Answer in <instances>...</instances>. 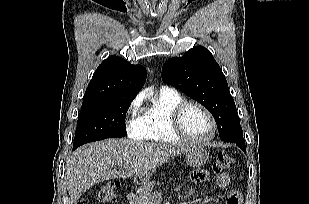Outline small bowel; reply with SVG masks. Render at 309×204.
I'll list each match as a JSON object with an SVG mask.
<instances>
[{"label":"small bowel","mask_w":309,"mask_h":204,"mask_svg":"<svg viewBox=\"0 0 309 204\" xmlns=\"http://www.w3.org/2000/svg\"><path fill=\"white\" fill-rule=\"evenodd\" d=\"M191 178L195 182H204V181H207L209 179V174L207 173V171H204V170L195 171L192 174ZM230 181H231V175L227 172H223V173L218 175V177L216 179V184L219 188L223 189V188H226L230 184ZM235 196H237L241 200V195L237 191H231L228 195V200L231 197H235ZM228 204H230V203L228 202ZM234 204H236V203H234ZM239 204H241V203H239Z\"/></svg>","instance_id":"small-bowel-1"}]
</instances>
